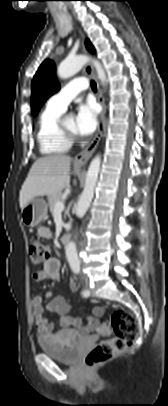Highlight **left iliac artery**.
Instances as JSON below:
<instances>
[{"mask_svg": "<svg viewBox=\"0 0 168 406\" xmlns=\"http://www.w3.org/2000/svg\"><path fill=\"white\" fill-rule=\"evenodd\" d=\"M74 272H75L76 274H78V273L80 272V269H79V268H76V269H74ZM82 294H83V296L88 297V296L90 295V292H89L87 289H84L83 292H82Z\"/></svg>", "mask_w": 168, "mask_h": 406, "instance_id": "44dca946", "label": "left iliac artery"}]
</instances>
